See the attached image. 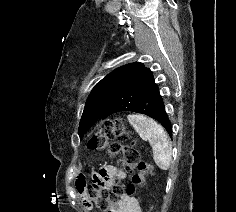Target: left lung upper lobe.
Masks as SVG:
<instances>
[{
	"label": "left lung upper lobe",
	"mask_w": 236,
	"mask_h": 212,
	"mask_svg": "<svg viewBox=\"0 0 236 212\" xmlns=\"http://www.w3.org/2000/svg\"><path fill=\"white\" fill-rule=\"evenodd\" d=\"M140 62L123 65L99 81L86 101L80 120L78 133L80 138L103 115L107 106L119 94Z\"/></svg>",
	"instance_id": "1"
}]
</instances>
